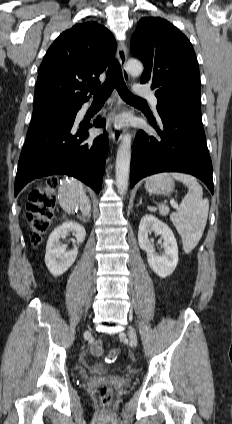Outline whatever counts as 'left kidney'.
<instances>
[{"instance_id":"left-kidney-1","label":"left kidney","mask_w":232,"mask_h":424,"mask_svg":"<svg viewBox=\"0 0 232 424\" xmlns=\"http://www.w3.org/2000/svg\"><path fill=\"white\" fill-rule=\"evenodd\" d=\"M152 232L162 236L164 253H155L148 237ZM138 242L140 248L147 253L148 265L159 277L165 278L174 272L178 264V246L167 224L153 215H145L140 221Z\"/></svg>"}]
</instances>
